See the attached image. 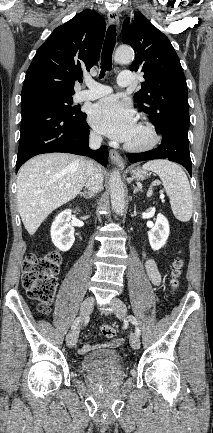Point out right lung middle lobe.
Returning <instances> with one entry per match:
<instances>
[{
    "label": "right lung middle lobe",
    "instance_id": "obj_1",
    "mask_svg": "<svg viewBox=\"0 0 213 433\" xmlns=\"http://www.w3.org/2000/svg\"><path fill=\"white\" fill-rule=\"evenodd\" d=\"M22 100H33L46 104H50L56 108H58L63 113L69 116H79L82 112L71 106L72 104V95H60L48 92H36L26 96L21 97Z\"/></svg>",
    "mask_w": 213,
    "mask_h": 433
}]
</instances>
